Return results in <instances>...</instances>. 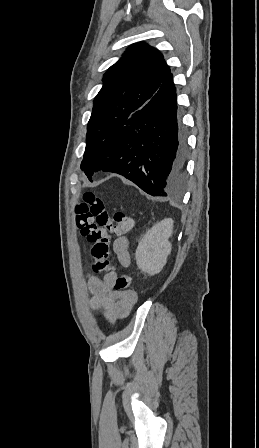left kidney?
I'll return each mask as SVG.
<instances>
[{"label":"left kidney","instance_id":"5707ae66","mask_svg":"<svg viewBox=\"0 0 259 448\" xmlns=\"http://www.w3.org/2000/svg\"><path fill=\"white\" fill-rule=\"evenodd\" d=\"M172 230L173 220L166 218L143 236L135 254L136 264L141 272L155 276L163 270L172 248L168 242Z\"/></svg>","mask_w":259,"mask_h":448}]
</instances>
